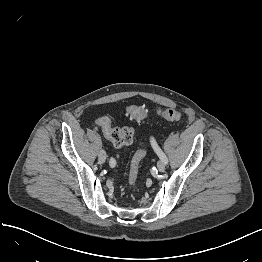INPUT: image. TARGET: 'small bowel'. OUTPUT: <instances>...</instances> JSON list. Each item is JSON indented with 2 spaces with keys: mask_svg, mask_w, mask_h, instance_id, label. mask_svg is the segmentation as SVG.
<instances>
[{
  "mask_svg": "<svg viewBox=\"0 0 262 262\" xmlns=\"http://www.w3.org/2000/svg\"><path fill=\"white\" fill-rule=\"evenodd\" d=\"M99 120H100V118L97 120V124H98ZM98 125H99V124H98ZM150 142H151V144L155 142L154 137H151V138H150ZM114 166H115V162H114V164H113L111 167H114Z\"/></svg>",
  "mask_w": 262,
  "mask_h": 262,
  "instance_id": "c3829d8e",
  "label": "small bowel"
}]
</instances>
